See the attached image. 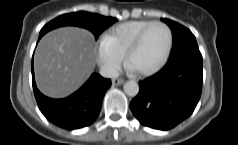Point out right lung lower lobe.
I'll return each instance as SVG.
<instances>
[{"label": "right lung lower lobe", "instance_id": "right-lung-lower-lobe-1", "mask_svg": "<svg viewBox=\"0 0 238 145\" xmlns=\"http://www.w3.org/2000/svg\"><path fill=\"white\" fill-rule=\"evenodd\" d=\"M32 85L38 107L47 120L63 129L74 130L89 126L97 118L104 94L111 86V80L94 73L71 96L65 99H51L37 89L32 61Z\"/></svg>", "mask_w": 238, "mask_h": 145}]
</instances>
